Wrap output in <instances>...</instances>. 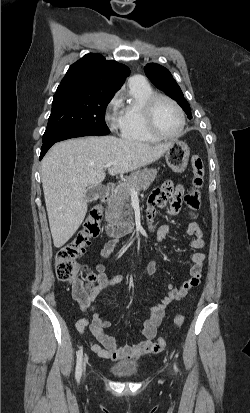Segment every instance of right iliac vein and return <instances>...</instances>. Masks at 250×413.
<instances>
[{
    "label": "right iliac vein",
    "instance_id": "obj_1",
    "mask_svg": "<svg viewBox=\"0 0 250 413\" xmlns=\"http://www.w3.org/2000/svg\"><path fill=\"white\" fill-rule=\"evenodd\" d=\"M82 369H83V372H85V369H86V358H84V361H83V364H82Z\"/></svg>",
    "mask_w": 250,
    "mask_h": 413
}]
</instances>
